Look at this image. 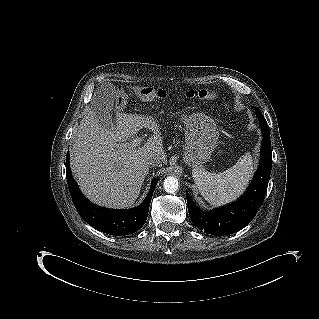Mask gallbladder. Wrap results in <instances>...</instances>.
Here are the masks:
<instances>
[{
	"label": "gallbladder",
	"instance_id": "bac80fb5",
	"mask_svg": "<svg viewBox=\"0 0 319 319\" xmlns=\"http://www.w3.org/2000/svg\"><path fill=\"white\" fill-rule=\"evenodd\" d=\"M109 91L104 93V89L96 92L91 103L92 109L96 112L99 122L110 127L114 124L111 118V111L113 110V87L109 86Z\"/></svg>",
	"mask_w": 319,
	"mask_h": 319
}]
</instances>
